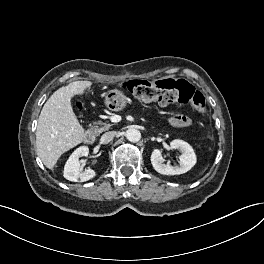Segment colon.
Listing matches in <instances>:
<instances>
[{
    "instance_id": "obj_1",
    "label": "colon",
    "mask_w": 264,
    "mask_h": 264,
    "mask_svg": "<svg viewBox=\"0 0 264 264\" xmlns=\"http://www.w3.org/2000/svg\"><path fill=\"white\" fill-rule=\"evenodd\" d=\"M123 88L140 101L189 104L193 111L205 110L204 96L194 86L183 79H164L159 81L129 80Z\"/></svg>"
}]
</instances>
